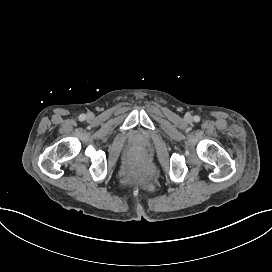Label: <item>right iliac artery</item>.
Wrapping results in <instances>:
<instances>
[{
	"label": "right iliac artery",
	"mask_w": 272,
	"mask_h": 272,
	"mask_svg": "<svg viewBox=\"0 0 272 272\" xmlns=\"http://www.w3.org/2000/svg\"><path fill=\"white\" fill-rule=\"evenodd\" d=\"M85 118H86V116H85L84 114H81V115L79 116V120H80V121H84Z\"/></svg>",
	"instance_id": "obj_1"
}]
</instances>
